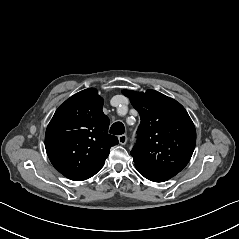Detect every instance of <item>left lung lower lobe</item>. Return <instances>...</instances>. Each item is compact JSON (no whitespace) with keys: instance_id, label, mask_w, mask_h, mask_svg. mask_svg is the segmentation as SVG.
Segmentation results:
<instances>
[{"instance_id":"obj_1","label":"left lung lower lobe","mask_w":239,"mask_h":239,"mask_svg":"<svg viewBox=\"0 0 239 239\" xmlns=\"http://www.w3.org/2000/svg\"><path fill=\"white\" fill-rule=\"evenodd\" d=\"M136 169L142 176L154 182H164L177 174L172 172L154 171L139 167H136Z\"/></svg>"}]
</instances>
